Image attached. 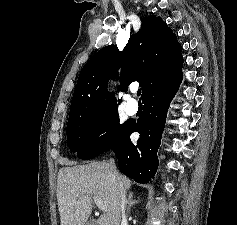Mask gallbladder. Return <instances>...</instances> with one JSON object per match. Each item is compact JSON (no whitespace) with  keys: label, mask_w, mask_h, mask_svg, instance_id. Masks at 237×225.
I'll use <instances>...</instances> for the list:
<instances>
[{"label":"gallbladder","mask_w":237,"mask_h":225,"mask_svg":"<svg viewBox=\"0 0 237 225\" xmlns=\"http://www.w3.org/2000/svg\"><path fill=\"white\" fill-rule=\"evenodd\" d=\"M85 225H96V222L93 220V221L87 222Z\"/></svg>","instance_id":"bac80fb5"}]
</instances>
